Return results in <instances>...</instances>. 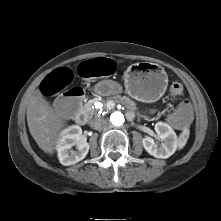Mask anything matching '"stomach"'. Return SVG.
Instances as JSON below:
<instances>
[{"label":"stomach","instance_id":"0dacf381","mask_svg":"<svg viewBox=\"0 0 221 221\" xmlns=\"http://www.w3.org/2000/svg\"><path fill=\"white\" fill-rule=\"evenodd\" d=\"M125 91L132 98L152 103L165 93L168 76L156 63L140 62L130 65L123 75Z\"/></svg>","mask_w":221,"mask_h":221}]
</instances>
